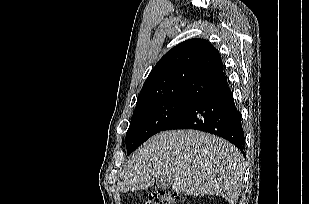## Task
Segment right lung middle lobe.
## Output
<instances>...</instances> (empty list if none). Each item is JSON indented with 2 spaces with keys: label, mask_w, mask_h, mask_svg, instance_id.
<instances>
[{
  "label": "right lung middle lobe",
  "mask_w": 309,
  "mask_h": 204,
  "mask_svg": "<svg viewBox=\"0 0 309 204\" xmlns=\"http://www.w3.org/2000/svg\"><path fill=\"white\" fill-rule=\"evenodd\" d=\"M196 103L193 100L160 99L136 104L126 133L127 155Z\"/></svg>",
  "instance_id": "1"
}]
</instances>
